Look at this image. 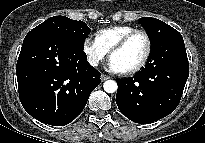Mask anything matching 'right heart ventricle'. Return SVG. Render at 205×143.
<instances>
[{
    "mask_svg": "<svg viewBox=\"0 0 205 143\" xmlns=\"http://www.w3.org/2000/svg\"><path fill=\"white\" fill-rule=\"evenodd\" d=\"M134 29V27L128 25L104 28L97 31L96 39L109 52L123 36Z\"/></svg>",
    "mask_w": 205,
    "mask_h": 143,
    "instance_id": "right-heart-ventricle-1",
    "label": "right heart ventricle"
}]
</instances>
